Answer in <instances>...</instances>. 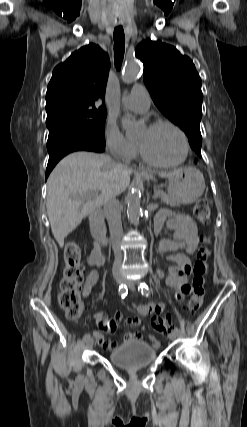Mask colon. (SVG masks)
Masks as SVG:
<instances>
[{"label":"colon","instance_id":"obj_1","mask_svg":"<svg viewBox=\"0 0 247 427\" xmlns=\"http://www.w3.org/2000/svg\"><path fill=\"white\" fill-rule=\"evenodd\" d=\"M194 216L203 225L211 221V210L205 198L199 199L194 206ZM204 245L197 253V259L193 268V281L190 287L191 296L187 304L189 314L196 313L202 306L205 296L206 274L210 250L207 246L209 238L202 237ZM81 249L77 242L69 241L64 248V271L60 281L58 303L71 320H78L82 315L83 304L81 301V289L83 282V267L80 263ZM152 329L158 333L169 332L174 322L170 316L153 317L150 321ZM103 344V340L99 338Z\"/></svg>","mask_w":247,"mask_h":427}]
</instances>
